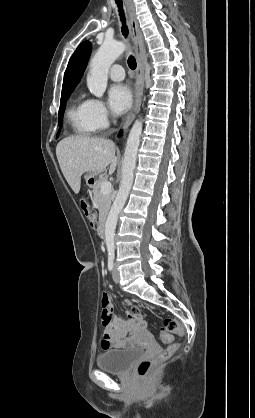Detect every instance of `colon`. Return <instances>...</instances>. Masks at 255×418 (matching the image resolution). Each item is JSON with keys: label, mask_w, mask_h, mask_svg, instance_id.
Returning a JSON list of instances; mask_svg holds the SVG:
<instances>
[{"label": "colon", "mask_w": 255, "mask_h": 418, "mask_svg": "<svg viewBox=\"0 0 255 418\" xmlns=\"http://www.w3.org/2000/svg\"><path fill=\"white\" fill-rule=\"evenodd\" d=\"M79 206L88 223L93 226L95 224V213L89 203L85 199H80ZM174 334L183 338L186 332L178 320L174 318H166L164 321L162 339L164 342L170 344L157 356L143 359L139 362L137 366V374L139 377H148L161 362L167 360L177 352L181 344L179 342L171 343Z\"/></svg>", "instance_id": "colon-1"}]
</instances>
